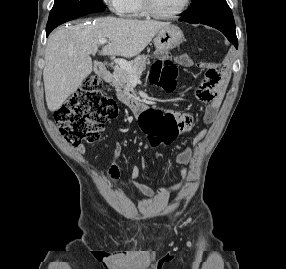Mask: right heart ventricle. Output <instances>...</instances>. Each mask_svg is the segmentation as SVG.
I'll return each mask as SVG.
<instances>
[{"label": "right heart ventricle", "mask_w": 286, "mask_h": 269, "mask_svg": "<svg viewBox=\"0 0 286 269\" xmlns=\"http://www.w3.org/2000/svg\"><path fill=\"white\" fill-rule=\"evenodd\" d=\"M121 13L128 18H142L145 16L140 0H124Z\"/></svg>", "instance_id": "obj_1"}]
</instances>
